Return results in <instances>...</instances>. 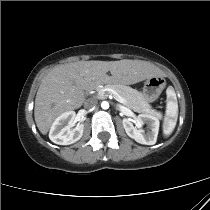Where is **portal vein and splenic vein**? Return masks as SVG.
Wrapping results in <instances>:
<instances>
[{
	"label": "portal vein and splenic vein",
	"instance_id": "18ae733b",
	"mask_svg": "<svg viewBox=\"0 0 210 210\" xmlns=\"http://www.w3.org/2000/svg\"><path fill=\"white\" fill-rule=\"evenodd\" d=\"M106 91L110 92L111 94H113L114 98L120 102V103H124L125 100L114 90L112 89H107Z\"/></svg>",
	"mask_w": 210,
	"mask_h": 210
}]
</instances>
